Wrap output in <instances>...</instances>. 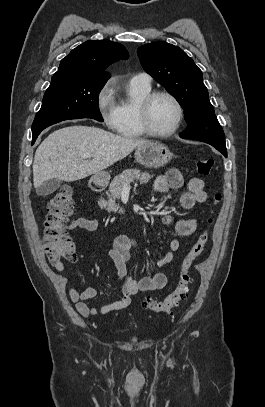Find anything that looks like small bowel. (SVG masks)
Wrapping results in <instances>:
<instances>
[{
  "instance_id": "small-bowel-1",
  "label": "small bowel",
  "mask_w": 265,
  "mask_h": 407,
  "mask_svg": "<svg viewBox=\"0 0 265 407\" xmlns=\"http://www.w3.org/2000/svg\"><path fill=\"white\" fill-rule=\"evenodd\" d=\"M184 185V179L179 170L172 168L165 174L159 175L154 181V188L159 193H167L171 189H179ZM188 190L182 194L180 199L181 207L190 210L196 205L204 204L207 201V193L204 190V181L201 178L194 177L187 183ZM164 224L172 225L179 237H188L195 233L198 226L196 218H183L175 220L170 216L162 218ZM99 227L97 219L78 217L73 219L66 227L67 230L83 229L95 231ZM180 248V241L173 239L169 243L167 252L158 260L157 265L164 267L170 263L175 252ZM136 252V243L133 238L127 235H118L113 246L109 251V256L113 260L118 280L121 284L122 297L116 301L101 306H91L88 301L98 296V290L94 287H86L82 291L75 288H69L68 293L71 301L74 303L78 313L91 318L98 315H106L111 312L120 311L127 308L131 303V298L146 291L160 290L167 284V275L158 272L153 276L144 277L139 280L133 278L128 272V262ZM57 271L64 270V264L54 265Z\"/></svg>"
}]
</instances>
